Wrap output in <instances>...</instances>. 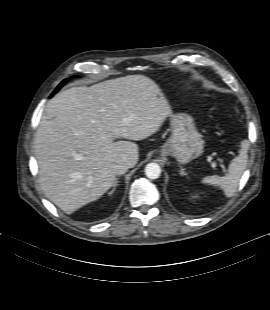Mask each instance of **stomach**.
Here are the masks:
<instances>
[{
    "label": "stomach",
    "mask_w": 270,
    "mask_h": 310,
    "mask_svg": "<svg viewBox=\"0 0 270 310\" xmlns=\"http://www.w3.org/2000/svg\"><path fill=\"white\" fill-rule=\"evenodd\" d=\"M171 136L163 144L161 154L173 156L180 164H186L202 155L204 141L197 131L192 116L180 113L170 115Z\"/></svg>",
    "instance_id": "0dacf381"
}]
</instances>
